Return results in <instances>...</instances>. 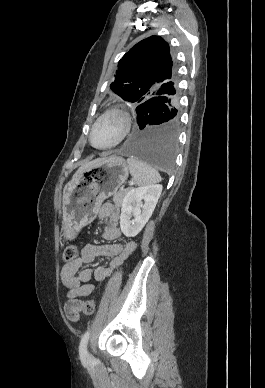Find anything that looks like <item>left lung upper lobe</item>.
Masks as SVG:
<instances>
[{
    "mask_svg": "<svg viewBox=\"0 0 265 388\" xmlns=\"http://www.w3.org/2000/svg\"><path fill=\"white\" fill-rule=\"evenodd\" d=\"M173 84H177V71L169 45L160 36H151L122 57L110 88L138 106L162 95L163 89Z\"/></svg>",
    "mask_w": 265,
    "mask_h": 388,
    "instance_id": "obj_1",
    "label": "left lung upper lobe"
}]
</instances>
